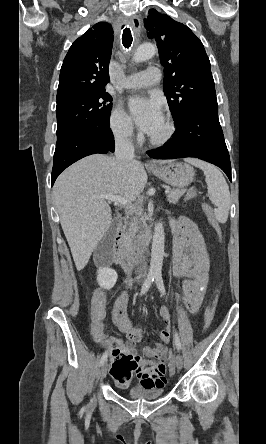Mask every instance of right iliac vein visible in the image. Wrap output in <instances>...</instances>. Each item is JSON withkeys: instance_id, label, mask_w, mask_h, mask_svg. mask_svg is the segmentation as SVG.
<instances>
[{"instance_id": "63e3f726", "label": "right iliac vein", "mask_w": 266, "mask_h": 444, "mask_svg": "<svg viewBox=\"0 0 266 444\" xmlns=\"http://www.w3.org/2000/svg\"><path fill=\"white\" fill-rule=\"evenodd\" d=\"M107 369H108V365L105 362V363H103V365L101 366L100 371H99V380L100 381H103V379L106 377Z\"/></svg>"}]
</instances>
